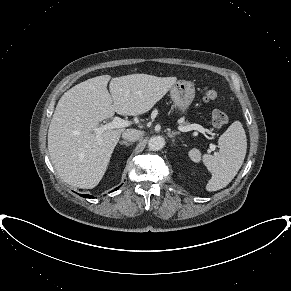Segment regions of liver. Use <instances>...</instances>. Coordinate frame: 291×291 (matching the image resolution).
Wrapping results in <instances>:
<instances>
[{
	"label": "liver",
	"instance_id": "1",
	"mask_svg": "<svg viewBox=\"0 0 291 291\" xmlns=\"http://www.w3.org/2000/svg\"><path fill=\"white\" fill-rule=\"evenodd\" d=\"M110 81V93L107 84ZM177 82L176 77L131 74L97 76L81 82L60 98L49 130L48 150L60 178L92 189L104 176L124 128L96 130L116 112L137 116L151 110Z\"/></svg>",
	"mask_w": 291,
	"mask_h": 291
}]
</instances>
